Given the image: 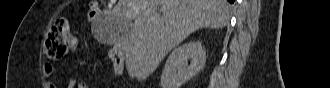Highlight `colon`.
Returning a JSON list of instances; mask_svg holds the SVG:
<instances>
[{
  "instance_id": "1",
  "label": "colon",
  "mask_w": 330,
  "mask_h": 88,
  "mask_svg": "<svg viewBox=\"0 0 330 88\" xmlns=\"http://www.w3.org/2000/svg\"><path fill=\"white\" fill-rule=\"evenodd\" d=\"M99 11L100 9L97 2L91 3L87 9L88 20L92 22L99 14ZM72 39L73 35L68 20L65 18L58 19L52 26L46 40L48 56L54 59L62 57ZM116 48L117 52L110 55L114 73L118 72L122 67L121 51L118 47Z\"/></svg>"
}]
</instances>
